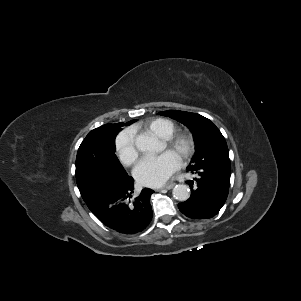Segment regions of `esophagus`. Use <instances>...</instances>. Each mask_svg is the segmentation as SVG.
Returning a JSON list of instances; mask_svg holds the SVG:
<instances>
[{"label":"esophagus","mask_w":301,"mask_h":301,"mask_svg":"<svg viewBox=\"0 0 301 301\" xmlns=\"http://www.w3.org/2000/svg\"><path fill=\"white\" fill-rule=\"evenodd\" d=\"M175 186V183H170L168 185L163 186L161 189H172Z\"/></svg>","instance_id":"esophagus-1"}]
</instances>
